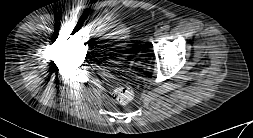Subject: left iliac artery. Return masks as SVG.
<instances>
[{
    "mask_svg": "<svg viewBox=\"0 0 253 138\" xmlns=\"http://www.w3.org/2000/svg\"><path fill=\"white\" fill-rule=\"evenodd\" d=\"M169 29V26L168 25H164L163 27H162V30H168Z\"/></svg>",
    "mask_w": 253,
    "mask_h": 138,
    "instance_id": "44dca946",
    "label": "left iliac artery"
}]
</instances>
